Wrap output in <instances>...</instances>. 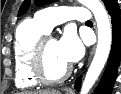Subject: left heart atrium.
I'll return each mask as SVG.
<instances>
[{"label": "left heart atrium", "instance_id": "left-heart-atrium-1", "mask_svg": "<svg viewBox=\"0 0 121 94\" xmlns=\"http://www.w3.org/2000/svg\"><path fill=\"white\" fill-rule=\"evenodd\" d=\"M58 49L66 62L72 64L78 61L84 54V46L80 39L70 31L64 33L58 41Z\"/></svg>", "mask_w": 121, "mask_h": 94}]
</instances>
